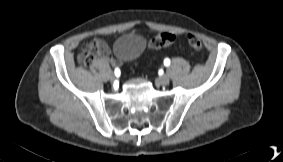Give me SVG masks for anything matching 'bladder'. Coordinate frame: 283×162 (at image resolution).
I'll return each instance as SVG.
<instances>
[{
    "instance_id": "1",
    "label": "bladder",
    "mask_w": 283,
    "mask_h": 162,
    "mask_svg": "<svg viewBox=\"0 0 283 162\" xmlns=\"http://www.w3.org/2000/svg\"><path fill=\"white\" fill-rule=\"evenodd\" d=\"M145 47L144 39L137 34H125L114 43L115 56L123 61H131L138 58Z\"/></svg>"
}]
</instances>
